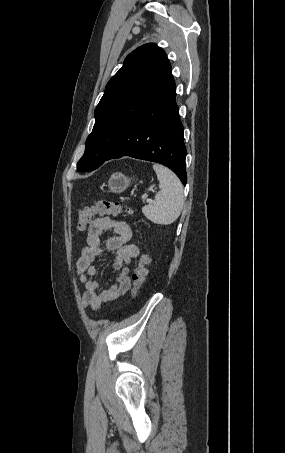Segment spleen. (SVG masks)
I'll use <instances>...</instances> for the list:
<instances>
[{"mask_svg":"<svg viewBox=\"0 0 285 453\" xmlns=\"http://www.w3.org/2000/svg\"><path fill=\"white\" fill-rule=\"evenodd\" d=\"M159 181V191L152 203L142 208L144 216L155 224H172L180 215L183 204V186L179 178L168 168L154 164Z\"/></svg>","mask_w":285,"mask_h":453,"instance_id":"3e777b00","label":"spleen"}]
</instances>
